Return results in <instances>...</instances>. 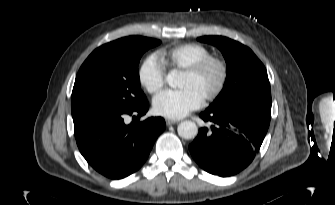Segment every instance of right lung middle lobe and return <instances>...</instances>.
<instances>
[{
    "mask_svg": "<svg viewBox=\"0 0 335 205\" xmlns=\"http://www.w3.org/2000/svg\"><path fill=\"white\" fill-rule=\"evenodd\" d=\"M159 40L130 36L95 49L80 67L72 96V117L135 109L147 99L140 88L138 64Z\"/></svg>",
    "mask_w": 335,
    "mask_h": 205,
    "instance_id": "dd1d6c3e",
    "label": "right lung middle lobe"
}]
</instances>
